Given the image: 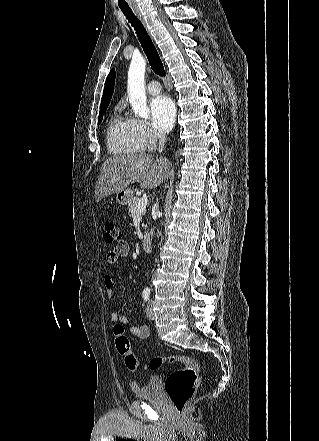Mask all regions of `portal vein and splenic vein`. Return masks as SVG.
<instances>
[{
	"mask_svg": "<svg viewBox=\"0 0 319 441\" xmlns=\"http://www.w3.org/2000/svg\"><path fill=\"white\" fill-rule=\"evenodd\" d=\"M148 202V198L146 195H143V197L138 201V204L136 206V209L133 213L134 214H141L142 212L145 211L146 205Z\"/></svg>",
	"mask_w": 319,
	"mask_h": 441,
	"instance_id": "portal-vein-and-splenic-vein-1",
	"label": "portal vein and splenic vein"
}]
</instances>
